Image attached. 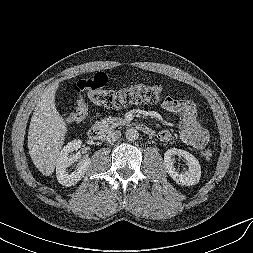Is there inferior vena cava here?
<instances>
[{
  "instance_id": "obj_1",
  "label": "inferior vena cava",
  "mask_w": 253,
  "mask_h": 253,
  "mask_svg": "<svg viewBox=\"0 0 253 253\" xmlns=\"http://www.w3.org/2000/svg\"><path fill=\"white\" fill-rule=\"evenodd\" d=\"M121 137V132L118 130H109L104 135V140L108 143H113Z\"/></svg>"
}]
</instances>
